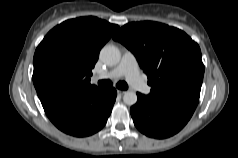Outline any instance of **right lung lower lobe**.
Here are the masks:
<instances>
[{
  "mask_svg": "<svg viewBox=\"0 0 238 158\" xmlns=\"http://www.w3.org/2000/svg\"><path fill=\"white\" fill-rule=\"evenodd\" d=\"M44 111L61 131L76 137L89 136L104 127L116 100V90H61L37 92Z\"/></svg>",
  "mask_w": 238,
  "mask_h": 158,
  "instance_id": "98d812e1",
  "label": "right lung lower lobe"
}]
</instances>
